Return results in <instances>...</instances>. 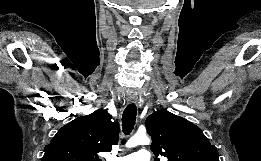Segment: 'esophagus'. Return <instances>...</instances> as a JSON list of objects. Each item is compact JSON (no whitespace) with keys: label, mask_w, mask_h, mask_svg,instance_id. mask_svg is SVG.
I'll use <instances>...</instances> for the list:
<instances>
[{"label":"esophagus","mask_w":261,"mask_h":161,"mask_svg":"<svg viewBox=\"0 0 261 161\" xmlns=\"http://www.w3.org/2000/svg\"><path fill=\"white\" fill-rule=\"evenodd\" d=\"M126 100L128 103H136L138 100V97L136 94L129 93V94H127Z\"/></svg>","instance_id":"obj_1"}]
</instances>
